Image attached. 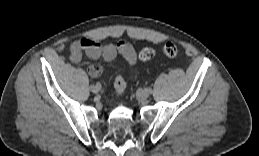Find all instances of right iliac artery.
Masks as SVG:
<instances>
[{
  "label": "right iliac artery",
  "instance_id": "1",
  "mask_svg": "<svg viewBox=\"0 0 259 156\" xmlns=\"http://www.w3.org/2000/svg\"><path fill=\"white\" fill-rule=\"evenodd\" d=\"M97 85L100 86V84H97ZM94 88H95V85H94V84H91V85H90V90H93Z\"/></svg>",
  "mask_w": 259,
  "mask_h": 156
}]
</instances>
